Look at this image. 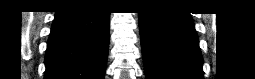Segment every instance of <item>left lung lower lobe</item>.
Here are the masks:
<instances>
[{"label":"left lung lower lobe","mask_w":255,"mask_h":79,"mask_svg":"<svg viewBox=\"0 0 255 79\" xmlns=\"http://www.w3.org/2000/svg\"><path fill=\"white\" fill-rule=\"evenodd\" d=\"M146 79H203L202 56L191 16L169 8L140 12Z\"/></svg>","instance_id":"1"}]
</instances>
